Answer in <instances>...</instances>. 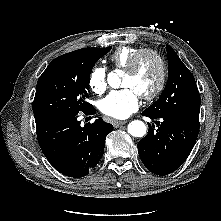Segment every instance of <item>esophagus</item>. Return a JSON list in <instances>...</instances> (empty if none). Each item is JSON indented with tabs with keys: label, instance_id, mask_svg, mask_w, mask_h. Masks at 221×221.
<instances>
[{
	"label": "esophagus",
	"instance_id": "obj_1",
	"mask_svg": "<svg viewBox=\"0 0 221 221\" xmlns=\"http://www.w3.org/2000/svg\"><path fill=\"white\" fill-rule=\"evenodd\" d=\"M127 123V121H118V120H115V121H113V126L114 127H119V126H121V125H124V124H126Z\"/></svg>",
	"mask_w": 221,
	"mask_h": 221
}]
</instances>
